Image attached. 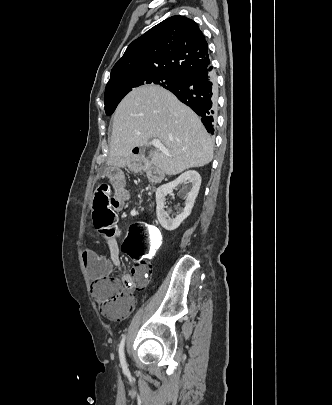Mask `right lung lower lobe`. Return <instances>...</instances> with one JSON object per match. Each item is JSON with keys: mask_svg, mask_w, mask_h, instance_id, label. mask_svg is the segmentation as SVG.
Wrapping results in <instances>:
<instances>
[{"mask_svg": "<svg viewBox=\"0 0 332 405\" xmlns=\"http://www.w3.org/2000/svg\"><path fill=\"white\" fill-rule=\"evenodd\" d=\"M167 89L201 116L206 130L213 134L217 85L211 64L188 73L178 84Z\"/></svg>", "mask_w": 332, "mask_h": 405, "instance_id": "98d812e1", "label": "right lung lower lobe"}]
</instances>
